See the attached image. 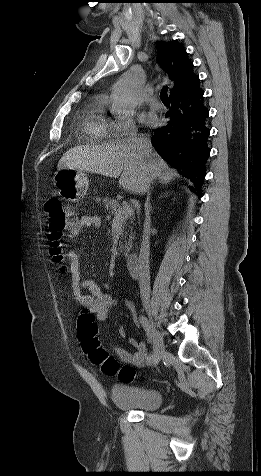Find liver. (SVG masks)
<instances>
[{
    "label": "liver",
    "mask_w": 261,
    "mask_h": 476,
    "mask_svg": "<svg viewBox=\"0 0 261 476\" xmlns=\"http://www.w3.org/2000/svg\"><path fill=\"white\" fill-rule=\"evenodd\" d=\"M150 166L152 180L167 184L179 174L152 149L149 158L140 160L135 149L127 142L108 143L95 146H77L69 149L59 160L58 170L75 169L119 178L123 189L134 193H144V166Z\"/></svg>",
    "instance_id": "liver-1"
}]
</instances>
